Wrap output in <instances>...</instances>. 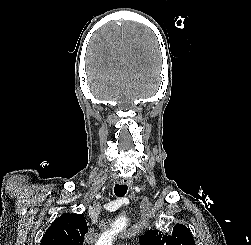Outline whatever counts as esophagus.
Masks as SVG:
<instances>
[{"instance_id": "34e87169", "label": "esophagus", "mask_w": 251, "mask_h": 245, "mask_svg": "<svg viewBox=\"0 0 251 245\" xmlns=\"http://www.w3.org/2000/svg\"><path fill=\"white\" fill-rule=\"evenodd\" d=\"M119 183L122 185H129V186H131L133 184V182L129 179H121V180H119Z\"/></svg>"}]
</instances>
